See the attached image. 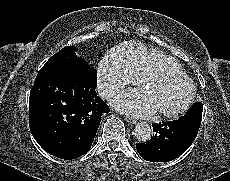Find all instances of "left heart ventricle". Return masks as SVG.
I'll return each instance as SVG.
<instances>
[{"label": "left heart ventricle", "instance_id": "b2bd125f", "mask_svg": "<svg viewBox=\"0 0 230 181\" xmlns=\"http://www.w3.org/2000/svg\"><path fill=\"white\" fill-rule=\"evenodd\" d=\"M186 81L172 78H157L150 81L143 95L155 110H173L180 107L189 94Z\"/></svg>", "mask_w": 230, "mask_h": 181}]
</instances>
